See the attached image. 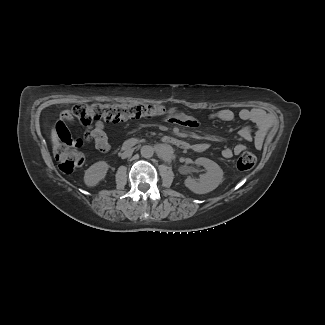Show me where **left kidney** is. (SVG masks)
<instances>
[{
    "mask_svg": "<svg viewBox=\"0 0 325 325\" xmlns=\"http://www.w3.org/2000/svg\"><path fill=\"white\" fill-rule=\"evenodd\" d=\"M195 164L201 165L206 169V173L200 176L199 181L187 177L184 181L185 186L196 194H206L216 189L223 179V171L214 161L199 157Z\"/></svg>",
    "mask_w": 325,
    "mask_h": 325,
    "instance_id": "1",
    "label": "left kidney"
}]
</instances>
